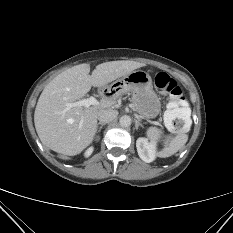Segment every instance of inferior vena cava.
I'll return each instance as SVG.
<instances>
[{
    "mask_svg": "<svg viewBox=\"0 0 233 233\" xmlns=\"http://www.w3.org/2000/svg\"><path fill=\"white\" fill-rule=\"evenodd\" d=\"M117 116V112L112 109L102 110L98 113V120L100 123H108L114 120Z\"/></svg>",
    "mask_w": 233,
    "mask_h": 233,
    "instance_id": "obj_1",
    "label": "inferior vena cava"
}]
</instances>
